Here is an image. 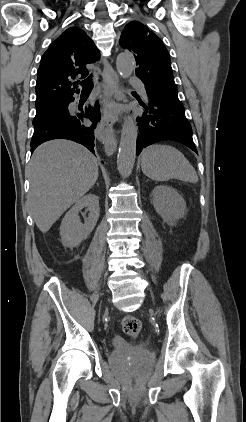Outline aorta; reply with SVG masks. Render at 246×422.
I'll use <instances>...</instances> for the list:
<instances>
[{
    "instance_id": "762f6f07",
    "label": "aorta",
    "mask_w": 246,
    "mask_h": 422,
    "mask_svg": "<svg viewBox=\"0 0 246 422\" xmlns=\"http://www.w3.org/2000/svg\"><path fill=\"white\" fill-rule=\"evenodd\" d=\"M116 69L123 78H128L135 69V60L129 53H121L116 59ZM137 126L132 115L124 118L121 130L117 167L119 173L131 175L136 158Z\"/></svg>"
}]
</instances>
